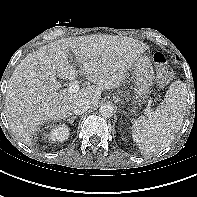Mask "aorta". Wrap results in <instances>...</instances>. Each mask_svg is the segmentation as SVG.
Segmentation results:
<instances>
[{
  "label": "aorta",
  "instance_id": "762f6f07",
  "mask_svg": "<svg viewBox=\"0 0 197 197\" xmlns=\"http://www.w3.org/2000/svg\"><path fill=\"white\" fill-rule=\"evenodd\" d=\"M99 113L103 118H110L113 116L114 108L111 104H103L99 108Z\"/></svg>",
  "mask_w": 197,
  "mask_h": 197
}]
</instances>
